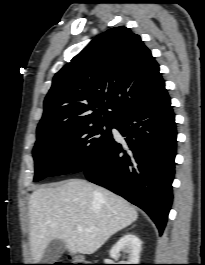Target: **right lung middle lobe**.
<instances>
[{
  "label": "right lung middle lobe",
  "instance_id": "right-lung-middle-lobe-1",
  "mask_svg": "<svg viewBox=\"0 0 205 265\" xmlns=\"http://www.w3.org/2000/svg\"><path fill=\"white\" fill-rule=\"evenodd\" d=\"M114 124L115 122L90 121L61 130H38L33 149L34 182L48 176L82 171L112 138L111 129Z\"/></svg>",
  "mask_w": 205,
  "mask_h": 265
}]
</instances>
